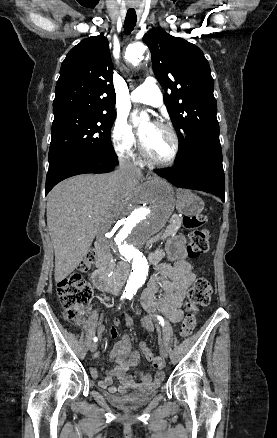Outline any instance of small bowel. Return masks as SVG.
Listing matches in <instances>:
<instances>
[{"mask_svg": "<svg viewBox=\"0 0 277 438\" xmlns=\"http://www.w3.org/2000/svg\"><path fill=\"white\" fill-rule=\"evenodd\" d=\"M163 256L164 252L162 250L157 251L152 256L153 261L158 263L157 274L143 292L141 303L147 312L159 311L172 323L176 324L183 319V301L187 290L195 281V274L192 265L186 260V254L181 246L178 247V254L172 264L162 262ZM159 290H162L163 294L156 299ZM126 321L128 324L131 322L129 317ZM115 324L118 325V321ZM143 328L147 331H153L154 325L150 321H145ZM105 330L104 325L98 326L99 334L104 333ZM111 332L113 336H117L118 327L112 326ZM125 332L132 333L133 327L126 326ZM140 349L145 358L152 361L153 353L146 343L141 342ZM110 359L114 367L108 372L106 378L99 381V385L112 393L116 391V387L112 385V377H116L120 381V390L122 391L154 390L163 380V372H156L154 377L145 372H138L135 375L128 373L129 368L138 364L139 356L137 352L131 351V339L127 334L123 335L114 344Z\"/></svg>", "mask_w": 277, "mask_h": 438, "instance_id": "obj_1", "label": "small bowel"}]
</instances>
